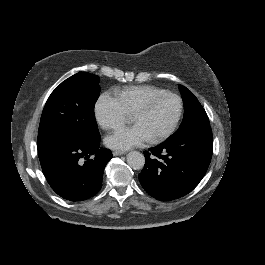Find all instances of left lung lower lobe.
<instances>
[{
  "label": "left lung lower lobe",
  "instance_id": "1",
  "mask_svg": "<svg viewBox=\"0 0 265 265\" xmlns=\"http://www.w3.org/2000/svg\"><path fill=\"white\" fill-rule=\"evenodd\" d=\"M212 145V130L206 126L150 148L144 152L145 166L139 174L142 187L160 201H170L188 194L208 169Z\"/></svg>",
  "mask_w": 265,
  "mask_h": 265
}]
</instances>
